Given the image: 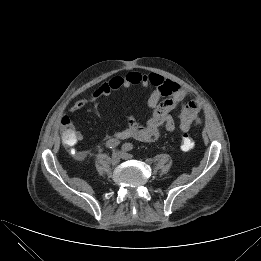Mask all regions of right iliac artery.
<instances>
[{"instance_id": "right-iliac-artery-1", "label": "right iliac artery", "mask_w": 261, "mask_h": 261, "mask_svg": "<svg viewBox=\"0 0 261 261\" xmlns=\"http://www.w3.org/2000/svg\"><path fill=\"white\" fill-rule=\"evenodd\" d=\"M120 144V141L117 139H110L106 142V148L113 149Z\"/></svg>"}]
</instances>
